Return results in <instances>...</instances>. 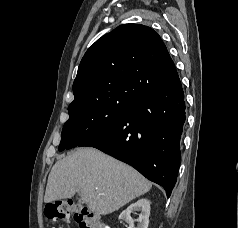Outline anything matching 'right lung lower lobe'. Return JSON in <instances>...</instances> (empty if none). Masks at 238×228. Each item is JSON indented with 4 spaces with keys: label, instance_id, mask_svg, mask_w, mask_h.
Segmentation results:
<instances>
[{
    "label": "right lung lower lobe",
    "instance_id": "98d812e1",
    "mask_svg": "<svg viewBox=\"0 0 238 228\" xmlns=\"http://www.w3.org/2000/svg\"><path fill=\"white\" fill-rule=\"evenodd\" d=\"M184 123V92L179 80L130 102L116 122L79 147L97 148L133 166L170 196L180 165Z\"/></svg>",
    "mask_w": 238,
    "mask_h": 228
}]
</instances>
